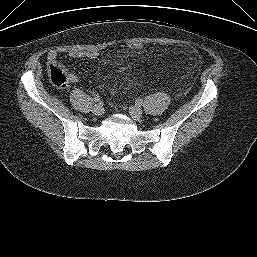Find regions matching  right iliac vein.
<instances>
[{"instance_id":"1","label":"right iliac vein","mask_w":257,"mask_h":257,"mask_svg":"<svg viewBox=\"0 0 257 257\" xmlns=\"http://www.w3.org/2000/svg\"><path fill=\"white\" fill-rule=\"evenodd\" d=\"M92 112L95 116H100L104 113V108L101 104H96L93 106Z\"/></svg>"}]
</instances>
